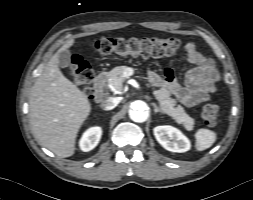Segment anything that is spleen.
<instances>
[{
    "mask_svg": "<svg viewBox=\"0 0 253 200\" xmlns=\"http://www.w3.org/2000/svg\"><path fill=\"white\" fill-rule=\"evenodd\" d=\"M196 149L198 151H203L205 149H208L213 145V143L216 140V134L215 132L209 130V129H199L196 134Z\"/></svg>",
    "mask_w": 253,
    "mask_h": 200,
    "instance_id": "3e777b00",
    "label": "spleen"
}]
</instances>
